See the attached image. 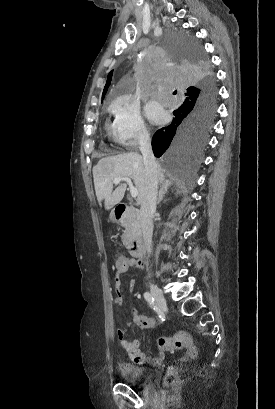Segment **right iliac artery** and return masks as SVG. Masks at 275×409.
<instances>
[{"label": "right iliac artery", "mask_w": 275, "mask_h": 409, "mask_svg": "<svg viewBox=\"0 0 275 409\" xmlns=\"http://www.w3.org/2000/svg\"><path fill=\"white\" fill-rule=\"evenodd\" d=\"M144 298H145V300L147 301V303L151 306V307H153V309H155V300H154V297L152 296V294H150L149 292H145L144 293Z\"/></svg>", "instance_id": "1"}]
</instances>
